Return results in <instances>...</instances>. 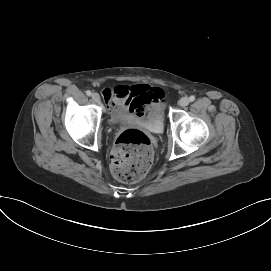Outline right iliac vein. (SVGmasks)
Here are the masks:
<instances>
[{"instance_id":"right-iliac-vein-1","label":"right iliac vein","mask_w":271,"mask_h":271,"mask_svg":"<svg viewBox=\"0 0 271 271\" xmlns=\"http://www.w3.org/2000/svg\"><path fill=\"white\" fill-rule=\"evenodd\" d=\"M91 97H92V99H93L94 102H96V103L100 102V96H99L98 93H96V92L92 93Z\"/></svg>"}]
</instances>
